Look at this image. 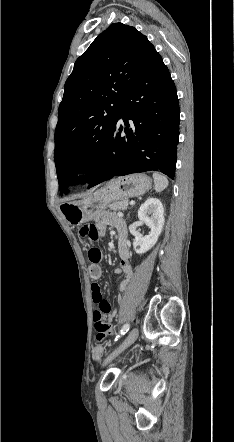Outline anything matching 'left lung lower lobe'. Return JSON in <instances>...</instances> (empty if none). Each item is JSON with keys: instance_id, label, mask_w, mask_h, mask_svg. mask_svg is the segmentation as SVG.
<instances>
[{"instance_id": "0a47b994", "label": "left lung lower lobe", "mask_w": 234, "mask_h": 442, "mask_svg": "<svg viewBox=\"0 0 234 442\" xmlns=\"http://www.w3.org/2000/svg\"><path fill=\"white\" fill-rule=\"evenodd\" d=\"M120 118L125 125L124 137ZM128 119L133 121L131 127ZM179 122L174 82L155 51L123 97L106 154L88 180V188L115 176L151 170L174 179Z\"/></svg>"}]
</instances>
